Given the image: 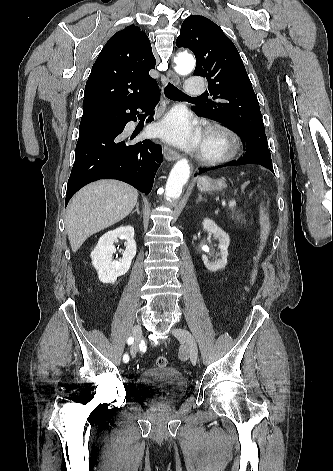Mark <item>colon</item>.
Returning <instances> with one entry per match:
<instances>
[{"label":"colon","mask_w":333,"mask_h":471,"mask_svg":"<svg viewBox=\"0 0 333 471\" xmlns=\"http://www.w3.org/2000/svg\"><path fill=\"white\" fill-rule=\"evenodd\" d=\"M259 224H260V235H259V243L254 255V266L250 276L249 288L252 289L256 283L257 276H258V263L267 243L270 230H271V222L269 218L268 210L261 206L259 209ZM156 364L158 367H165L168 364V360L164 356H158L156 358Z\"/></svg>","instance_id":"5ec220e1"}]
</instances>
